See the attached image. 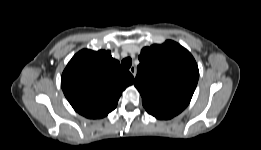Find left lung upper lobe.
I'll return each instance as SVG.
<instances>
[{
	"instance_id": "1",
	"label": "left lung upper lobe",
	"mask_w": 261,
	"mask_h": 150,
	"mask_svg": "<svg viewBox=\"0 0 261 150\" xmlns=\"http://www.w3.org/2000/svg\"><path fill=\"white\" fill-rule=\"evenodd\" d=\"M135 86L146 111L160 119L182 112L195 91L199 70L193 56L178 43L167 40L141 50Z\"/></svg>"
}]
</instances>
